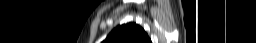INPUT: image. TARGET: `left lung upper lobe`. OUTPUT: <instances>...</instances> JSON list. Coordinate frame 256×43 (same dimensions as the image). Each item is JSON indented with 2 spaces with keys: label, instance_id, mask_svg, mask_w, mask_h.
Wrapping results in <instances>:
<instances>
[{
  "label": "left lung upper lobe",
  "instance_id": "left-lung-upper-lobe-1",
  "mask_svg": "<svg viewBox=\"0 0 256 43\" xmlns=\"http://www.w3.org/2000/svg\"><path fill=\"white\" fill-rule=\"evenodd\" d=\"M103 43H151V40L139 25L128 23L113 29Z\"/></svg>",
  "mask_w": 256,
  "mask_h": 43
}]
</instances>
